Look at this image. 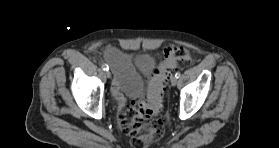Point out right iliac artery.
I'll return each instance as SVG.
<instances>
[{
	"label": "right iliac artery",
	"mask_w": 279,
	"mask_h": 148,
	"mask_svg": "<svg viewBox=\"0 0 279 148\" xmlns=\"http://www.w3.org/2000/svg\"><path fill=\"white\" fill-rule=\"evenodd\" d=\"M102 69L104 70V71H106V70H109V66L107 65V64H102Z\"/></svg>",
	"instance_id": "right-iliac-artery-1"
}]
</instances>
